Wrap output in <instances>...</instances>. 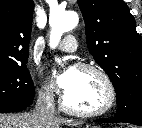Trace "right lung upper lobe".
Masks as SVG:
<instances>
[{
    "label": "right lung upper lobe",
    "instance_id": "obj_1",
    "mask_svg": "<svg viewBox=\"0 0 142 128\" xmlns=\"http://www.w3.org/2000/svg\"><path fill=\"white\" fill-rule=\"evenodd\" d=\"M33 9L32 0L0 1V67L26 65Z\"/></svg>",
    "mask_w": 142,
    "mask_h": 128
}]
</instances>
